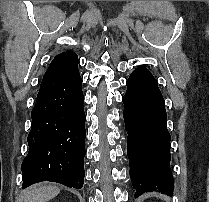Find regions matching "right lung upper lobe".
<instances>
[{
  "label": "right lung upper lobe",
  "instance_id": "obj_1",
  "mask_svg": "<svg viewBox=\"0 0 209 202\" xmlns=\"http://www.w3.org/2000/svg\"><path fill=\"white\" fill-rule=\"evenodd\" d=\"M58 56H66L68 58V61L71 63L70 70L72 72L78 71V57L75 53L71 51H66V52L59 54Z\"/></svg>",
  "mask_w": 209,
  "mask_h": 202
}]
</instances>
